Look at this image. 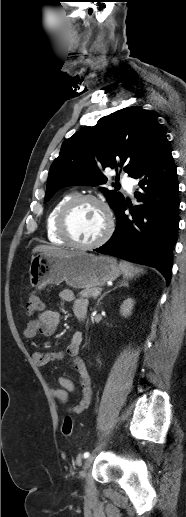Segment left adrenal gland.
<instances>
[{
  "instance_id": "obj_1",
  "label": "left adrenal gland",
  "mask_w": 186,
  "mask_h": 517,
  "mask_svg": "<svg viewBox=\"0 0 186 517\" xmlns=\"http://www.w3.org/2000/svg\"><path fill=\"white\" fill-rule=\"evenodd\" d=\"M122 286H127V284L122 282V283H120V285H117V286H116V287H114L112 290H115V289H117L118 287H122ZM112 290H109V291H107V292L103 293V295H101V297L98 299L96 306H98V305L100 304V301H101V300H102V299H103V298H104L108 293H110Z\"/></svg>"
}]
</instances>
